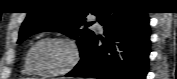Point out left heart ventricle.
<instances>
[{
    "label": "left heart ventricle",
    "instance_id": "b2bd125f",
    "mask_svg": "<svg viewBox=\"0 0 177 79\" xmlns=\"http://www.w3.org/2000/svg\"><path fill=\"white\" fill-rule=\"evenodd\" d=\"M33 57L40 69L56 71L68 63L71 58V50L66 43L50 40L38 45Z\"/></svg>",
    "mask_w": 177,
    "mask_h": 79
}]
</instances>
